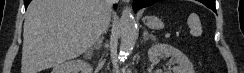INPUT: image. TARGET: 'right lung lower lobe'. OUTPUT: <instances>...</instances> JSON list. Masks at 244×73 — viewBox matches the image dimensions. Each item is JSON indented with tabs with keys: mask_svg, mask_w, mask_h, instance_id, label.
Wrapping results in <instances>:
<instances>
[{
	"mask_svg": "<svg viewBox=\"0 0 244 73\" xmlns=\"http://www.w3.org/2000/svg\"><path fill=\"white\" fill-rule=\"evenodd\" d=\"M31 1H32V0H24L25 9L27 8L28 4H29Z\"/></svg>",
	"mask_w": 244,
	"mask_h": 73,
	"instance_id": "obj_1",
	"label": "right lung lower lobe"
}]
</instances>
